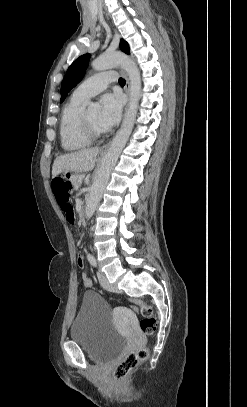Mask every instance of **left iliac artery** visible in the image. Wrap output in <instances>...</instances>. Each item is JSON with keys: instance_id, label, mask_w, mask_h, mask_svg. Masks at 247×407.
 I'll return each instance as SVG.
<instances>
[{"instance_id": "1", "label": "left iliac artery", "mask_w": 247, "mask_h": 407, "mask_svg": "<svg viewBox=\"0 0 247 407\" xmlns=\"http://www.w3.org/2000/svg\"><path fill=\"white\" fill-rule=\"evenodd\" d=\"M88 261L90 262V264H91L92 266L96 267L97 262H96V259H95V257H94L93 255H89V256H88Z\"/></svg>"}]
</instances>
